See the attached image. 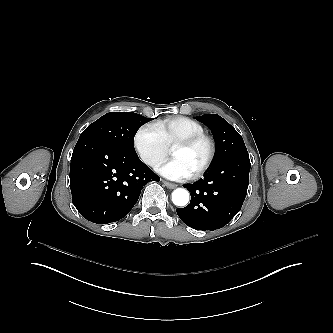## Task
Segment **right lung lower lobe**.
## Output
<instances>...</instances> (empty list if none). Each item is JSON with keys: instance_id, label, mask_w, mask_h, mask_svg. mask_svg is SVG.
Segmentation results:
<instances>
[{"instance_id": "1", "label": "right lung lower lobe", "mask_w": 333, "mask_h": 333, "mask_svg": "<svg viewBox=\"0 0 333 333\" xmlns=\"http://www.w3.org/2000/svg\"><path fill=\"white\" fill-rule=\"evenodd\" d=\"M160 178L137 155L94 138L78 140L71 158L70 189L79 213L97 224L117 221L137 202L143 186Z\"/></svg>"}]
</instances>
